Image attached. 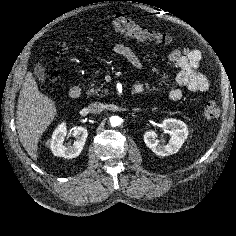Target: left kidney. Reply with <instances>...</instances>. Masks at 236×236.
Returning <instances> with one entry per match:
<instances>
[{"mask_svg": "<svg viewBox=\"0 0 236 236\" xmlns=\"http://www.w3.org/2000/svg\"><path fill=\"white\" fill-rule=\"evenodd\" d=\"M162 127L171 133V138L167 145L159 143L155 131H147L144 134V142L158 156H169L179 151L188 137L187 125L177 119L163 120Z\"/></svg>", "mask_w": 236, "mask_h": 236, "instance_id": "left-kidney-1", "label": "left kidney"}]
</instances>
